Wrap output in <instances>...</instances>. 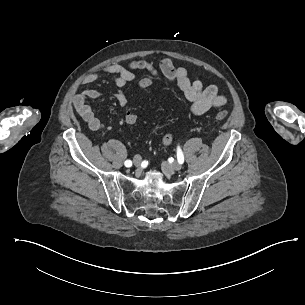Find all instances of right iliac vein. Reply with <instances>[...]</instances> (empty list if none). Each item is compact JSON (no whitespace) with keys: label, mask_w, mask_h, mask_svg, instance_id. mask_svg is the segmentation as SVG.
<instances>
[{"label":"right iliac vein","mask_w":305,"mask_h":305,"mask_svg":"<svg viewBox=\"0 0 305 305\" xmlns=\"http://www.w3.org/2000/svg\"><path fill=\"white\" fill-rule=\"evenodd\" d=\"M141 162H142V159L140 156L137 155L133 158V163L135 164V166L139 167L141 165Z\"/></svg>","instance_id":"63e3f726"}]
</instances>
